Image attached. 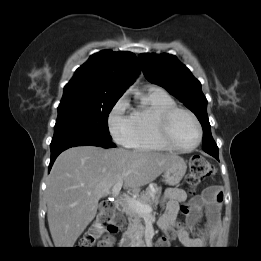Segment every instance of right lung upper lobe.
Instances as JSON below:
<instances>
[{"instance_id":"cb5924a9","label":"right lung upper lobe","mask_w":261,"mask_h":261,"mask_svg":"<svg viewBox=\"0 0 261 261\" xmlns=\"http://www.w3.org/2000/svg\"><path fill=\"white\" fill-rule=\"evenodd\" d=\"M140 70L131 52L103 50L80 66L64 87L63 96H120L132 84Z\"/></svg>"}]
</instances>
